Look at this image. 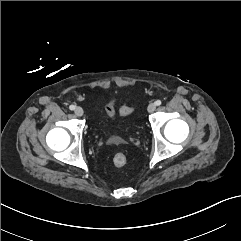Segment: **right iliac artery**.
Segmentation results:
<instances>
[{
	"mask_svg": "<svg viewBox=\"0 0 241 241\" xmlns=\"http://www.w3.org/2000/svg\"><path fill=\"white\" fill-rule=\"evenodd\" d=\"M69 109H70V110H74V109H75V106H74V105H70V106H69Z\"/></svg>",
	"mask_w": 241,
	"mask_h": 241,
	"instance_id": "82829eb1",
	"label": "right iliac artery"
}]
</instances>
